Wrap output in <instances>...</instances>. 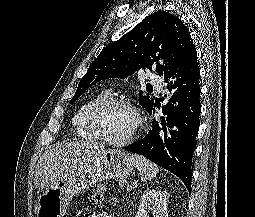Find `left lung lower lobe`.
<instances>
[{"instance_id":"0a47b994","label":"left lung lower lobe","mask_w":255,"mask_h":217,"mask_svg":"<svg viewBox=\"0 0 255 217\" xmlns=\"http://www.w3.org/2000/svg\"><path fill=\"white\" fill-rule=\"evenodd\" d=\"M163 76L170 97L162 109V122L154 120L143 139L124 149L143 155L174 173L190 192L191 164L201 111L200 69L194 45L190 46L180 56L176 66ZM149 113H152V108Z\"/></svg>"}]
</instances>
